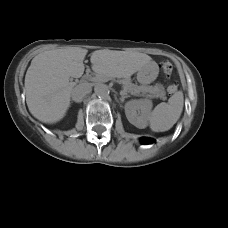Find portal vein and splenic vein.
<instances>
[{"mask_svg": "<svg viewBox=\"0 0 228 228\" xmlns=\"http://www.w3.org/2000/svg\"><path fill=\"white\" fill-rule=\"evenodd\" d=\"M121 93L123 94V93H126V90L125 89H123V91H121ZM135 95H138V94H135Z\"/></svg>", "mask_w": 228, "mask_h": 228, "instance_id": "18ae733b", "label": "portal vein and splenic vein"}]
</instances>
